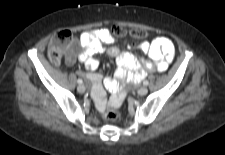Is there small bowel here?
<instances>
[{
    "instance_id": "1",
    "label": "small bowel",
    "mask_w": 225,
    "mask_h": 155,
    "mask_svg": "<svg viewBox=\"0 0 225 155\" xmlns=\"http://www.w3.org/2000/svg\"><path fill=\"white\" fill-rule=\"evenodd\" d=\"M114 41L107 28L86 31L73 40L69 54L66 56L68 64H73L75 59H78L90 71L87 74V79L92 85L96 107L101 112L105 111L108 106L104 88L112 92L110 107L116 111H121L126 100L125 85L141 81L146 76L147 71L162 72L166 70L175 54L174 45L167 37L160 36L150 42H143L140 44V49L148 55L151 62L145 63L142 67L134 54L112 46ZM103 52H107L110 57L116 60V79L103 80L102 76L95 72L100 64L95 55Z\"/></svg>"
}]
</instances>
